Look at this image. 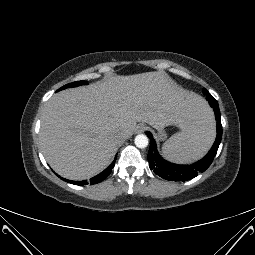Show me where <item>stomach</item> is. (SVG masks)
Listing matches in <instances>:
<instances>
[{
  "label": "stomach",
  "instance_id": "1",
  "mask_svg": "<svg viewBox=\"0 0 255 255\" xmlns=\"http://www.w3.org/2000/svg\"><path fill=\"white\" fill-rule=\"evenodd\" d=\"M169 125H171V124H169ZM168 125H166V126H164V127H162V128H159V129H157V137H158V139L159 140H163V139H165L166 138V127H167Z\"/></svg>",
  "mask_w": 255,
  "mask_h": 255
}]
</instances>
